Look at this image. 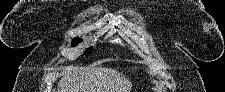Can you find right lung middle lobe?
<instances>
[{"mask_svg": "<svg viewBox=\"0 0 225 92\" xmlns=\"http://www.w3.org/2000/svg\"><path fill=\"white\" fill-rule=\"evenodd\" d=\"M81 42L80 38H74L72 40V46H76L78 43ZM92 47L91 48H87L86 51L84 52V55L88 56L91 52H92Z\"/></svg>", "mask_w": 225, "mask_h": 92, "instance_id": "dd1d6c3e", "label": "right lung middle lobe"}]
</instances>
